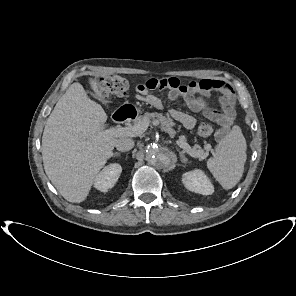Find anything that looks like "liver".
<instances>
[{"instance_id":"obj_1","label":"liver","mask_w":296,"mask_h":296,"mask_svg":"<svg viewBox=\"0 0 296 296\" xmlns=\"http://www.w3.org/2000/svg\"><path fill=\"white\" fill-rule=\"evenodd\" d=\"M98 99L107 104L98 82L89 78ZM102 106L91 100L83 86L70 85L47 119L42 136L45 172L69 202H83L101 168L112 156L114 136L102 134L107 121Z\"/></svg>"}]
</instances>
